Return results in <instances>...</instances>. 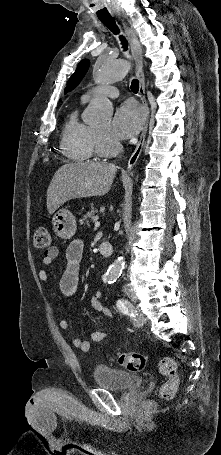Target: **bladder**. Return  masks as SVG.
Instances as JSON below:
<instances>
[{"label": "bladder", "instance_id": "1", "mask_svg": "<svg viewBox=\"0 0 221 455\" xmlns=\"http://www.w3.org/2000/svg\"><path fill=\"white\" fill-rule=\"evenodd\" d=\"M93 380L97 386L116 391H131L142 385L143 379L128 372L97 365L93 370Z\"/></svg>", "mask_w": 221, "mask_h": 455}]
</instances>
